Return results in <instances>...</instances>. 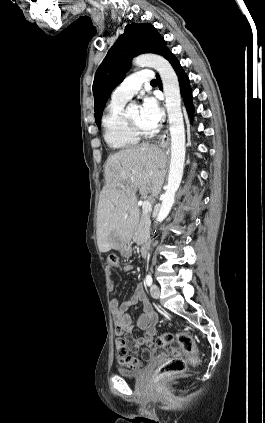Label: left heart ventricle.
<instances>
[{
	"label": "left heart ventricle",
	"instance_id": "b2bd125f",
	"mask_svg": "<svg viewBox=\"0 0 265 423\" xmlns=\"http://www.w3.org/2000/svg\"><path fill=\"white\" fill-rule=\"evenodd\" d=\"M129 118L135 122L137 125L147 128V126L143 123L142 119H141V112H140V108H135L134 110H132L129 114H128Z\"/></svg>",
	"mask_w": 265,
	"mask_h": 423
}]
</instances>
